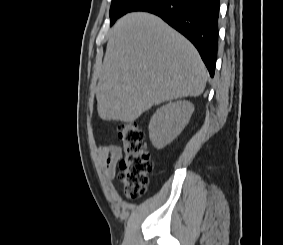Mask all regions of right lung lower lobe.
<instances>
[{"mask_svg":"<svg viewBox=\"0 0 283 245\" xmlns=\"http://www.w3.org/2000/svg\"><path fill=\"white\" fill-rule=\"evenodd\" d=\"M220 0H144L132 11L160 16L187 37L199 51L211 77L214 76Z\"/></svg>","mask_w":283,"mask_h":245,"instance_id":"1","label":"right lung lower lobe"}]
</instances>
